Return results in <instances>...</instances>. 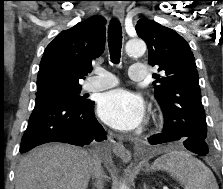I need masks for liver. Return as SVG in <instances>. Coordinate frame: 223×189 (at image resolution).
<instances>
[{"label": "liver", "instance_id": "liver-1", "mask_svg": "<svg viewBox=\"0 0 223 189\" xmlns=\"http://www.w3.org/2000/svg\"><path fill=\"white\" fill-rule=\"evenodd\" d=\"M93 157L68 144L43 145L19 163L15 189H86L92 174Z\"/></svg>", "mask_w": 223, "mask_h": 189}]
</instances>
